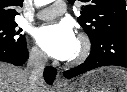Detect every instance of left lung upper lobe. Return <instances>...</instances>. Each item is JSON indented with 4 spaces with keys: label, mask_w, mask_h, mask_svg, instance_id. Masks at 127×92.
Here are the masks:
<instances>
[{
    "label": "left lung upper lobe",
    "mask_w": 127,
    "mask_h": 92,
    "mask_svg": "<svg viewBox=\"0 0 127 92\" xmlns=\"http://www.w3.org/2000/svg\"><path fill=\"white\" fill-rule=\"evenodd\" d=\"M73 3L74 0H68ZM83 5L78 18L91 44L103 34L127 35V11L125 0H80Z\"/></svg>",
    "instance_id": "left-lung-upper-lobe-1"
}]
</instances>
